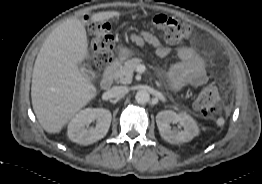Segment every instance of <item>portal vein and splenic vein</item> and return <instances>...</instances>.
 Segmentation results:
<instances>
[{"mask_svg": "<svg viewBox=\"0 0 262 184\" xmlns=\"http://www.w3.org/2000/svg\"><path fill=\"white\" fill-rule=\"evenodd\" d=\"M144 69H145V67H144L143 65H140L137 70H138L139 72H142Z\"/></svg>", "mask_w": 262, "mask_h": 184, "instance_id": "portal-vein-and-splenic-vein-1", "label": "portal vein and splenic vein"}]
</instances>
